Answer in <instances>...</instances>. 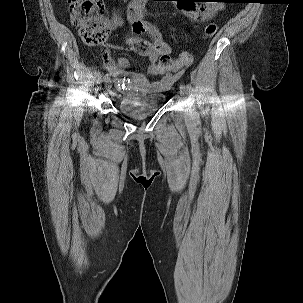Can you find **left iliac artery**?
<instances>
[{
  "label": "left iliac artery",
  "mask_w": 303,
  "mask_h": 303,
  "mask_svg": "<svg viewBox=\"0 0 303 303\" xmlns=\"http://www.w3.org/2000/svg\"><path fill=\"white\" fill-rule=\"evenodd\" d=\"M182 87L184 88L186 93L189 94L190 99H194V92H193V88H192L191 84L185 83L184 85H182ZM194 118L195 119L197 118L196 112H194Z\"/></svg>",
  "instance_id": "left-iliac-artery-1"
}]
</instances>
